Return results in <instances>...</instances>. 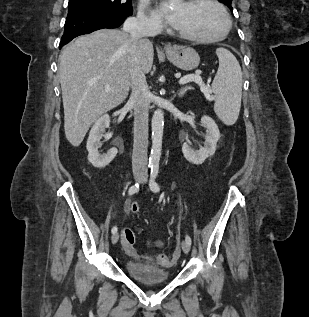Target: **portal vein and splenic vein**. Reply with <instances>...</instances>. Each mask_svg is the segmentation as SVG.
Here are the masks:
<instances>
[{
	"instance_id": "portal-vein-and-splenic-vein-1",
	"label": "portal vein and splenic vein",
	"mask_w": 309,
	"mask_h": 317,
	"mask_svg": "<svg viewBox=\"0 0 309 317\" xmlns=\"http://www.w3.org/2000/svg\"><path fill=\"white\" fill-rule=\"evenodd\" d=\"M200 74H201V71L197 70L196 74H194V75H187L185 77H182L179 80V84H186L188 82H192L193 81V82L197 83L200 86L202 92L206 93V92H208V87L205 86L204 82L202 81V78H201ZM109 91H110V89L106 88V92H109Z\"/></svg>"
}]
</instances>
